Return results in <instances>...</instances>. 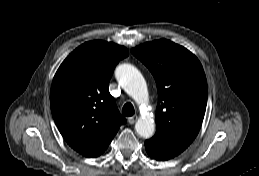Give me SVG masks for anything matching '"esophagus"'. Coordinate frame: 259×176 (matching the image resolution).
I'll list each match as a JSON object with an SVG mask.
<instances>
[{"label":"esophagus","mask_w":259,"mask_h":176,"mask_svg":"<svg viewBox=\"0 0 259 176\" xmlns=\"http://www.w3.org/2000/svg\"><path fill=\"white\" fill-rule=\"evenodd\" d=\"M136 120H137V116H131L128 118V123L132 125L136 122Z\"/></svg>","instance_id":"1"}]
</instances>
